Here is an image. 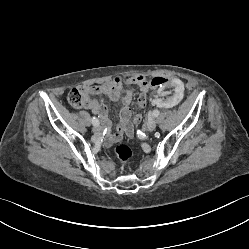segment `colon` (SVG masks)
Listing matches in <instances>:
<instances>
[{"instance_id": "obj_1", "label": "colon", "mask_w": 249, "mask_h": 249, "mask_svg": "<svg viewBox=\"0 0 249 249\" xmlns=\"http://www.w3.org/2000/svg\"><path fill=\"white\" fill-rule=\"evenodd\" d=\"M166 80H167L166 77L157 75L151 79L150 84L153 87H158V86H162V84ZM146 99H147V95L144 93H142L139 96L138 105H137L138 110H141L145 107ZM68 101L73 108L79 109L84 106L86 102V96L81 90H79L78 88H75L71 90L70 93L68 94ZM140 119H141V114L137 113L134 117V120L139 121ZM113 152L122 163H127L132 156V152L130 148L124 144L116 145L113 148Z\"/></svg>"}]
</instances>
